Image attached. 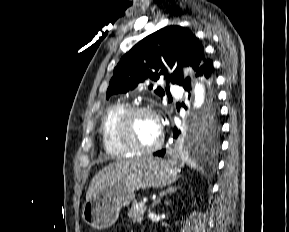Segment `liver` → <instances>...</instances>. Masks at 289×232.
<instances>
[{
	"instance_id": "liver-1",
	"label": "liver",
	"mask_w": 289,
	"mask_h": 232,
	"mask_svg": "<svg viewBox=\"0 0 289 232\" xmlns=\"http://www.w3.org/2000/svg\"><path fill=\"white\" fill-rule=\"evenodd\" d=\"M146 159H130L113 163L99 171L92 179L86 193V201L94 194L111 185L115 180L124 177L133 170L141 167Z\"/></svg>"
}]
</instances>
